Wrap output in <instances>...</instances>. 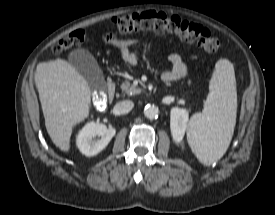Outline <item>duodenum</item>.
<instances>
[{"instance_id":"obj_1","label":"duodenum","mask_w":275,"mask_h":215,"mask_svg":"<svg viewBox=\"0 0 275 215\" xmlns=\"http://www.w3.org/2000/svg\"><path fill=\"white\" fill-rule=\"evenodd\" d=\"M116 92V85L115 81L112 78H109L107 83V90H106V100H112L115 96ZM105 103V100H99V103Z\"/></svg>"}]
</instances>
